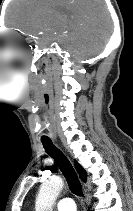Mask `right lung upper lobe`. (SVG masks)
I'll return each instance as SVG.
<instances>
[{
  "label": "right lung upper lobe",
  "instance_id": "obj_1",
  "mask_svg": "<svg viewBox=\"0 0 133 211\" xmlns=\"http://www.w3.org/2000/svg\"><path fill=\"white\" fill-rule=\"evenodd\" d=\"M74 165H75V168H76L81 180L85 182L87 179L86 171L82 168V166L77 161L74 162Z\"/></svg>",
  "mask_w": 133,
  "mask_h": 211
}]
</instances>
